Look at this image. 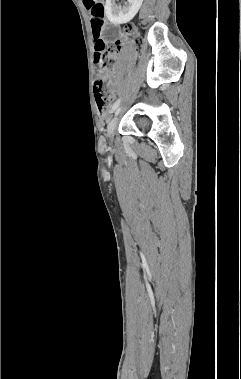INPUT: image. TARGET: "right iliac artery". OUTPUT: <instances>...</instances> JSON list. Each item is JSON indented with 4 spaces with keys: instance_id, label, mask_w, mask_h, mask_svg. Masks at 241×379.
Listing matches in <instances>:
<instances>
[{
    "instance_id": "82829eb1",
    "label": "right iliac artery",
    "mask_w": 241,
    "mask_h": 379,
    "mask_svg": "<svg viewBox=\"0 0 241 379\" xmlns=\"http://www.w3.org/2000/svg\"><path fill=\"white\" fill-rule=\"evenodd\" d=\"M120 104V99H118L114 104H113V107L112 109L115 110Z\"/></svg>"
}]
</instances>
